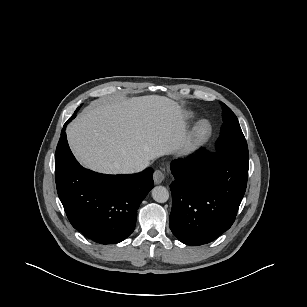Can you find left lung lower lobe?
<instances>
[{
  "label": "left lung lower lobe",
  "mask_w": 307,
  "mask_h": 307,
  "mask_svg": "<svg viewBox=\"0 0 307 307\" xmlns=\"http://www.w3.org/2000/svg\"><path fill=\"white\" fill-rule=\"evenodd\" d=\"M249 161L231 154H197L171 162L170 228L184 244L209 243L233 224L244 196Z\"/></svg>",
  "instance_id": "left-lung-lower-lobe-1"
}]
</instances>
